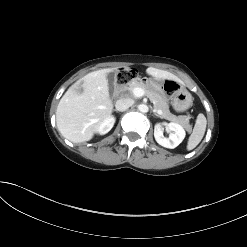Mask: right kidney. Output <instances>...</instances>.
Instances as JSON below:
<instances>
[{
	"instance_id": "1",
	"label": "right kidney",
	"mask_w": 247,
	"mask_h": 247,
	"mask_svg": "<svg viewBox=\"0 0 247 247\" xmlns=\"http://www.w3.org/2000/svg\"><path fill=\"white\" fill-rule=\"evenodd\" d=\"M115 121H116V119L114 116H109V117L103 119L99 123L96 132L99 133L100 135H104V134L108 133L112 129V127L114 126Z\"/></svg>"
}]
</instances>
